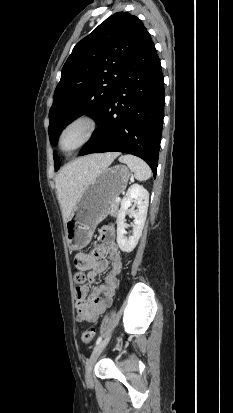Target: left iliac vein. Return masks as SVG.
I'll use <instances>...</instances> for the list:
<instances>
[{
    "instance_id": "obj_1",
    "label": "left iliac vein",
    "mask_w": 233,
    "mask_h": 413,
    "mask_svg": "<svg viewBox=\"0 0 233 413\" xmlns=\"http://www.w3.org/2000/svg\"><path fill=\"white\" fill-rule=\"evenodd\" d=\"M111 338V334L107 335L93 350L90 359L87 362V366H86V380L87 382H91L92 381V369L93 366L96 362V360L98 359L99 355L102 353V351L105 349V347L107 346L109 340Z\"/></svg>"
}]
</instances>
